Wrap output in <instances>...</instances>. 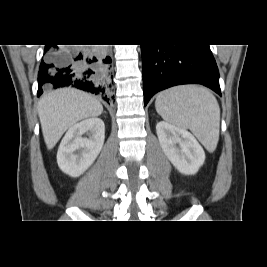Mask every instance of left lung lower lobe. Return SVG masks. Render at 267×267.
Instances as JSON below:
<instances>
[{
  "instance_id": "left-lung-lower-lobe-1",
  "label": "left lung lower lobe",
  "mask_w": 267,
  "mask_h": 267,
  "mask_svg": "<svg viewBox=\"0 0 267 267\" xmlns=\"http://www.w3.org/2000/svg\"><path fill=\"white\" fill-rule=\"evenodd\" d=\"M144 105L166 88L202 84L221 96L219 72L209 45H141Z\"/></svg>"
}]
</instances>
